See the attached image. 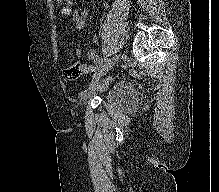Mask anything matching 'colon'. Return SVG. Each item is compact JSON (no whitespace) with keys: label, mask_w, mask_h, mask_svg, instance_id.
Masks as SVG:
<instances>
[{"label":"colon","mask_w":219,"mask_h":192,"mask_svg":"<svg viewBox=\"0 0 219 192\" xmlns=\"http://www.w3.org/2000/svg\"><path fill=\"white\" fill-rule=\"evenodd\" d=\"M58 2H62V0H58ZM82 73V68L78 64H72L65 68L64 74L69 79H75L79 77Z\"/></svg>","instance_id":"5ec220e1"}]
</instances>
